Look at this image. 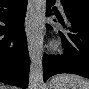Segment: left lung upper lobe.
<instances>
[{
	"mask_svg": "<svg viewBox=\"0 0 89 89\" xmlns=\"http://www.w3.org/2000/svg\"><path fill=\"white\" fill-rule=\"evenodd\" d=\"M66 1L74 4L89 6V0H66Z\"/></svg>",
	"mask_w": 89,
	"mask_h": 89,
	"instance_id": "obj_1",
	"label": "left lung upper lobe"
}]
</instances>
